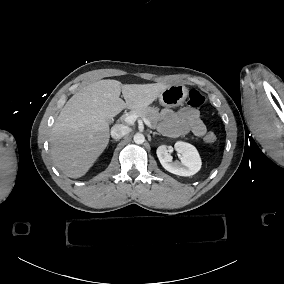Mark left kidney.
<instances>
[{
	"label": "left kidney",
	"instance_id": "1",
	"mask_svg": "<svg viewBox=\"0 0 284 284\" xmlns=\"http://www.w3.org/2000/svg\"><path fill=\"white\" fill-rule=\"evenodd\" d=\"M174 148L182 155L181 162L172 161L173 158L165 145L157 148L159 161L167 171L179 176H191L201 169V158L193 145L178 141L175 143Z\"/></svg>",
	"mask_w": 284,
	"mask_h": 284
}]
</instances>
